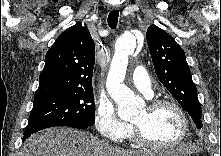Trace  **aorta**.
I'll use <instances>...</instances> for the list:
<instances>
[{
  "instance_id": "762f6f07",
  "label": "aorta",
  "mask_w": 221,
  "mask_h": 156,
  "mask_svg": "<svg viewBox=\"0 0 221 156\" xmlns=\"http://www.w3.org/2000/svg\"><path fill=\"white\" fill-rule=\"evenodd\" d=\"M137 38L132 33L122 34L116 41L115 54L107 76L106 87L111 98L118 104V115L129 120L137 115L143 107V100L124 83L128 56L136 48Z\"/></svg>"
}]
</instances>
